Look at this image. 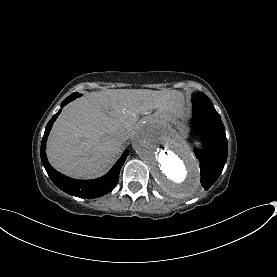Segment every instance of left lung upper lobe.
<instances>
[{
  "instance_id": "1",
  "label": "left lung upper lobe",
  "mask_w": 277,
  "mask_h": 277,
  "mask_svg": "<svg viewBox=\"0 0 277 277\" xmlns=\"http://www.w3.org/2000/svg\"><path fill=\"white\" fill-rule=\"evenodd\" d=\"M193 105H204L208 107H214L211 100L202 92H198L194 95Z\"/></svg>"
}]
</instances>
